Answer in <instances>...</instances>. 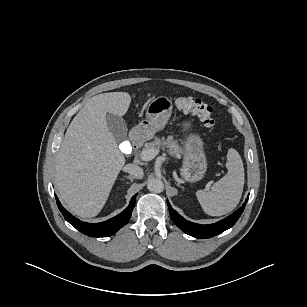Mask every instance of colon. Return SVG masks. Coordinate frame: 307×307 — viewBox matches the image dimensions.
Listing matches in <instances>:
<instances>
[{"instance_id":"5ec220e1","label":"colon","mask_w":307,"mask_h":307,"mask_svg":"<svg viewBox=\"0 0 307 307\" xmlns=\"http://www.w3.org/2000/svg\"><path fill=\"white\" fill-rule=\"evenodd\" d=\"M174 104L180 111L199 118L210 131L214 130L215 118L213 108L202 100L193 97H177L174 99Z\"/></svg>"}]
</instances>
